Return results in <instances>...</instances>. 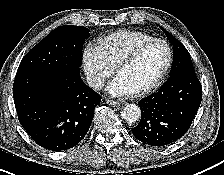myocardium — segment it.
<instances>
[{"mask_svg":"<svg viewBox=\"0 0 224 175\" xmlns=\"http://www.w3.org/2000/svg\"><path fill=\"white\" fill-rule=\"evenodd\" d=\"M155 43H161L166 47V50H167L166 62L164 64L162 70L160 71V73L157 75V77L150 84L132 92V94L134 96H141V95H144V94H147V93L151 92L152 90H154L160 84V82L166 76V74H167V72H168V70L171 66L172 59H173L172 49H171L169 43L167 41H165L163 39H159V38H152L150 40H147V41L141 43L140 45H138L136 48H134L128 55H126L116 65V73L118 75V73L124 67L133 63L148 46H150L152 44H155Z\"/></svg>","mask_w":224,"mask_h":175,"instance_id":"f54148a6","label":"myocardium"}]
</instances>
